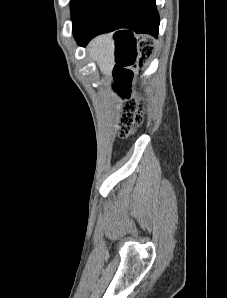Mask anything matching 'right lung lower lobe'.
Wrapping results in <instances>:
<instances>
[{
	"label": "right lung lower lobe",
	"instance_id": "obj_1",
	"mask_svg": "<svg viewBox=\"0 0 227 298\" xmlns=\"http://www.w3.org/2000/svg\"><path fill=\"white\" fill-rule=\"evenodd\" d=\"M159 14L155 0H110L79 32L74 33L80 46H85L94 36L117 30L116 63L126 66L127 46L135 34L147 33L158 36ZM123 68L115 66L113 76L118 79L125 75Z\"/></svg>",
	"mask_w": 227,
	"mask_h": 298
}]
</instances>
